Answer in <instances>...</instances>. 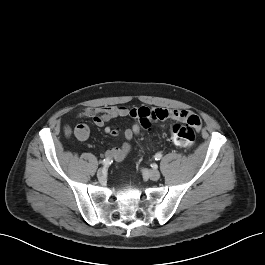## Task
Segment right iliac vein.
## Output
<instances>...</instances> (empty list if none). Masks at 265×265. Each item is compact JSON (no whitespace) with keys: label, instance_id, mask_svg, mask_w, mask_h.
I'll list each match as a JSON object with an SVG mask.
<instances>
[{"label":"right iliac vein","instance_id":"right-iliac-vein-1","mask_svg":"<svg viewBox=\"0 0 265 265\" xmlns=\"http://www.w3.org/2000/svg\"><path fill=\"white\" fill-rule=\"evenodd\" d=\"M97 177H98L100 180H104L105 177H106V175H105V171L99 169L98 172H97Z\"/></svg>","mask_w":265,"mask_h":265}]
</instances>
